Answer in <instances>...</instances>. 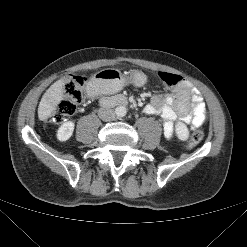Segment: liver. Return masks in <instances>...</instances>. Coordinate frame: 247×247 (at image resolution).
<instances>
[{"instance_id": "liver-1", "label": "liver", "mask_w": 247, "mask_h": 247, "mask_svg": "<svg viewBox=\"0 0 247 247\" xmlns=\"http://www.w3.org/2000/svg\"><path fill=\"white\" fill-rule=\"evenodd\" d=\"M64 87L65 81L60 79L53 83L49 89L46 90L38 106L39 120H46L56 110L58 104L63 99L65 92Z\"/></svg>"}]
</instances>
